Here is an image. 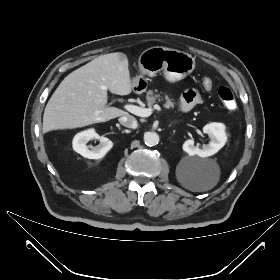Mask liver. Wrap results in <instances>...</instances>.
Returning <instances> with one entry per match:
<instances>
[{
  "mask_svg": "<svg viewBox=\"0 0 280 280\" xmlns=\"http://www.w3.org/2000/svg\"><path fill=\"white\" fill-rule=\"evenodd\" d=\"M128 58L116 52L99 56L70 73L49 99L43 115V132L73 129L129 115L107 107V91H132Z\"/></svg>",
  "mask_w": 280,
  "mask_h": 280,
  "instance_id": "1",
  "label": "liver"
}]
</instances>
